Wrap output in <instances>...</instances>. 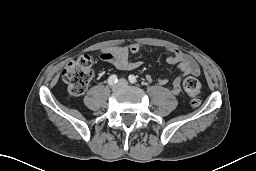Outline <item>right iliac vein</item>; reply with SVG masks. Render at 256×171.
I'll use <instances>...</instances> for the list:
<instances>
[{
    "mask_svg": "<svg viewBox=\"0 0 256 171\" xmlns=\"http://www.w3.org/2000/svg\"><path fill=\"white\" fill-rule=\"evenodd\" d=\"M120 87V85H119V83L118 84H113V85H111V88H112V90H117L118 88Z\"/></svg>",
    "mask_w": 256,
    "mask_h": 171,
    "instance_id": "obj_1",
    "label": "right iliac vein"
}]
</instances>
